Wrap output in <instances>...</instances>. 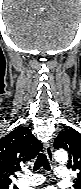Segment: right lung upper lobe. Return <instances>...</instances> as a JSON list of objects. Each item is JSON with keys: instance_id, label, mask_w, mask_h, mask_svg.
I'll return each mask as SVG.
<instances>
[{"instance_id": "obj_1", "label": "right lung upper lobe", "mask_w": 81, "mask_h": 189, "mask_svg": "<svg viewBox=\"0 0 81 189\" xmlns=\"http://www.w3.org/2000/svg\"><path fill=\"white\" fill-rule=\"evenodd\" d=\"M41 150V143L28 127H18L0 139V186L11 184L20 163L34 158Z\"/></svg>"}]
</instances>
